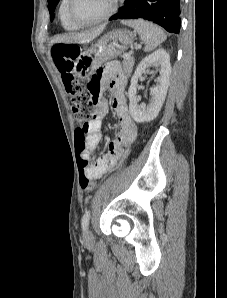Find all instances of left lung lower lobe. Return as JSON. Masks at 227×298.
Masks as SVG:
<instances>
[{
    "mask_svg": "<svg viewBox=\"0 0 227 298\" xmlns=\"http://www.w3.org/2000/svg\"><path fill=\"white\" fill-rule=\"evenodd\" d=\"M180 0H125L124 6L109 20L143 18L168 32L179 33Z\"/></svg>",
    "mask_w": 227,
    "mask_h": 298,
    "instance_id": "0a47b994",
    "label": "left lung lower lobe"
}]
</instances>
